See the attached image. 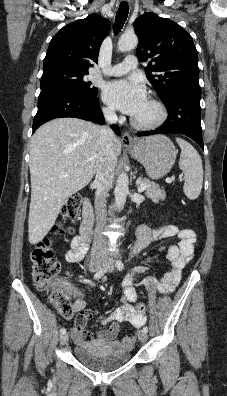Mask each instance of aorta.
<instances>
[{"mask_svg": "<svg viewBox=\"0 0 227 396\" xmlns=\"http://www.w3.org/2000/svg\"><path fill=\"white\" fill-rule=\"evenodd\" d=\"M138 44V38L134 33H124L118 41V49L121 52H127L134 49ZM129 178L125 172H121L118 175L116 181L115 193V204L118 208L124 206L126 197L129 192Z\"/></svg>", "mask_w": 227, "mask_h": 396, "instance_id": "aorta-1", "label": "aorta"}]
</instances>
